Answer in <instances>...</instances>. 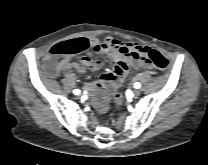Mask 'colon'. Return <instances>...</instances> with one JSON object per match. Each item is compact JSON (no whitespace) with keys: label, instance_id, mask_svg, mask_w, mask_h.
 <instances>
[{"label":"colon","instance_id":"obj_1","mask_svg":"<svg viewBox=\"0 0 208 165\" xmlns=\"http://www.w3.org/2000/svg\"><path fill=\"white\" fill-rule=\"evenodd\" d=\"M88 48V42L82 38L64 41L54 45L51 48L49 55L44 60L43 67L45 72L49 76L55 77L61 68L63 58L83 53ZM142 53L145 61L154 67L160 70L168 68V59L157 50L145 47ZM115 99L117 102H120V96L118 94L115 95Z\"/></svg>","mask_w":208,"mask_h":165}]
</instances>
